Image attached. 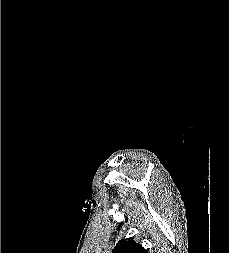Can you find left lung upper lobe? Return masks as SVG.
Segmentation results:
<instances>
[{"label":"left lung upper lobe","instance_id":"left-lung-upper-lobe-1","mask_svg":"<svg viewBox=\"0 0 229 253\" xmlns=\"http://www.w3.org/2000/svg\"><path fill=\"white\" fill-rule=\"evenodd\" d=\"M112 253H147L146 250L140 245L136 244L132 238L127 240H120L115 246Z\"/></svg>","mask_w":229,"mask_h":253}]
</instances>
